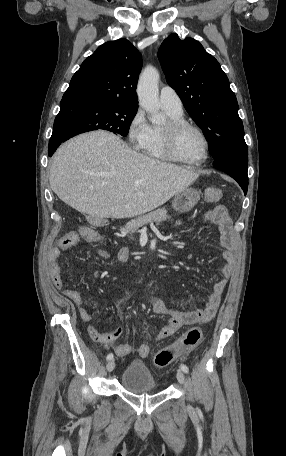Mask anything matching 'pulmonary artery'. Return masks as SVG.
Here are the masks:
<instances>
[{"mask_svg": "<svg viewBox=\"0 0 286 456\" xmlns=\"http://www.w3.org/2000/svg\"><path fill=\"white\" fill-rule=\"evenodd\" d=\"M159 100L161 106L173 113V114H182L183 113V106L182 101L179 98L176 91L169 87L165 86L160 90Z\"/></svg>", "mask_w": 286, "mask_h": 456, "instance_id": "pulmonary-artery-1", "label": "pulmonary artery"}]
</instances>
